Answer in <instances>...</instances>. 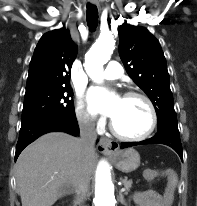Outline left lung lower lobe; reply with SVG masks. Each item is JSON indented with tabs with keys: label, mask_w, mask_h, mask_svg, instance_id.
Returning <instances> with one entry per match:
<instances>
[{
	"label": "left lung lower lobe",
	"mask_w": 197,
	"mask_h": 206,
	"mask_svg": "<svg viewBox=\"0 0 197 206\" xmlns=\"http://www.w3.org/2000/svg\"><path fill=\"white\" fill-rule=\"evenodd\" d=\"M142 144H164L171 148H173L178 155L180 156L181 160L183 161V151L180 141V134L179 131L165 129L162 131H157L156 135L150 139L140 141V142H122L121 148H128L136 145Z\"/></svg>",
	"instance_id": "left-lung-lower-lobe-1"
}]
</instances>
